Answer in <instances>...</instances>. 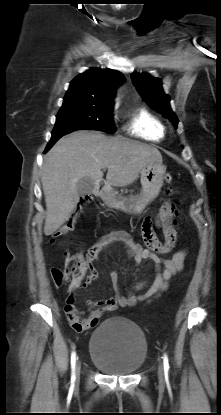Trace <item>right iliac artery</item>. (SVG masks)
<instances>
[{
	"mask_svg": "<svg viewBox=\"0 0 221 415\" xmlns=\"http://www.w3.org/2000/svg\"><path fill=\"white\" fill-rule=\"evenodd\" d=\"M75 364H76V353L72 352L71 354V369H72L71 380L72 381L75 380Z\"/></svg>",
	"mask_w": 221,
	"mask_h": 415,
	"instance_id": "obj_1",
	"label": "right iliac artery"
}]
</instances>
